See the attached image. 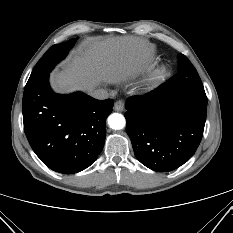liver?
Instances as JSON below:
<instances>
[{
  "label": "liver",
  "instance_id": "liver-1",
  "mask_svg": "<svg viewBox=\"0 0 233 233\" xmlns=\"http://www.w3.org/2000/svg\"><path fill=\"white\" fill-rule=\"evenodd\" d=\"M153 51L154 46L141 37L92 39L61 71L51 74V85L60 93L78 89L91 93L102 82H125L148 67Z\"/></svg>",
  "mask_w": 233,
  "mask_h": 233
}]
</instances>
